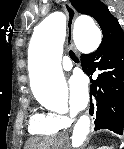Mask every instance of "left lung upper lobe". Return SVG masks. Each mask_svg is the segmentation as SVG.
Returning a JSON list of instances; mask_svg holds the SVG:
<instances>
[{"mask_svg": "<svg viewBox=\"0 0 124 149\" xmlns=\"http://www.w3.org/2000/svg\"><path fill=\"white\" fill-rule=\"evenodd\" d=\"M73 7L82 14L93 17L101 27L103 39L99 47L120 42L124 32L118 20L111 15L107 6L100 0H70Z\"/></svg>", "mask_w": 124, "mask_h": 149, "instance_id": "5c2ea615", "label": "left lung upper lobe"}]
</instances>
